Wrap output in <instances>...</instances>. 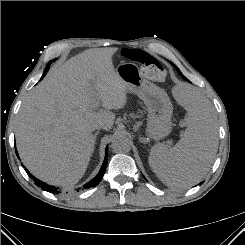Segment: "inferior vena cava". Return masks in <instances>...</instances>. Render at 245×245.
<instances>
[{"label": "inferior vena cava", "mask_w": 245, "mask_h": 245, "mask_svg": "<svg viewBox=\"0 0 245 245\" xmlns=\"http://www.w3.org/2000/svg\"><path fill=\"white\" fill-rule=\"evenodd\" d=\"M94 129H105V126L103 124H96Z\"/></svg>", "instance_id": "602c4592"}]
</instances>
